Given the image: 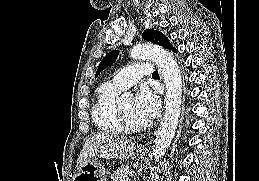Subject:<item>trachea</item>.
Segmentation results:
<instances>
[{"instance_id":"trachea-1","label":"trachea","mask_w":259,"mask_h":181,"mask_svg":"<svg viewBox=\"0 0 259 181\" xmlns=\"http://www.w3.org/2000/svg\"><path fill=\"white\" fill-rule=\"evenodd\" d=\"M158 75H159L158 71H154L152 74V76H158Z\"/></svg>"}]
</instances>
